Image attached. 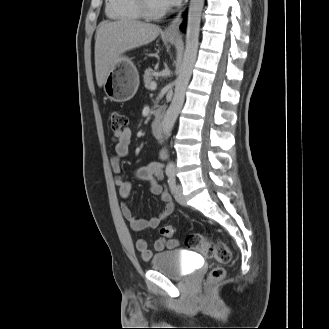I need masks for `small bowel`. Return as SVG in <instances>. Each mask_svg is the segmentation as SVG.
<instances>
[{"label": "small bowel", "instance_id": "small-bowel-1", "mask_svg": "<svg viewBox=\"0 0 329 329\" xmlns=\"http://www.w3.org/2000/svg\"><path fill=\"white\" fill-rule=\"evenodd\" d=\"M112 142L115 149V156L111 160V167L115 174L119 175L121 172V158L126 156L129 152L131 143V131L126 128L119 134L112 135ZM135 177L147 181L150 186V191L154 195L160 196L165 203L162 211L155 217L150 219H140L134 216L132 210L126 205L120 206L123 217L128 221L130 228L137 233H141L146 229H155L160 223L166 219L174 210V203L171 195L164 189L161 182L163 177V164L159 161L150 162L146 165L138 166L134 171ZM118 197L126 200L131 195L132 184L129 180L117 176L115 179ZM179 242L176 239L159 238L154 241L152 248L148 247V243L144 238H138L135 246L137 251L141 253L143 259H150L155 252H161L166 249H173L178 247Z\"/></svg>", "mask_w": 329, "mask_h": 329}]
</instances>
